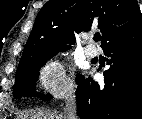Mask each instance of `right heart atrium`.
I'll return each mask as SVG.
<instances>
[{"mask_svg":"<svg viewBox=\"0 0 142 119\" xmlns=\"http://www.w3.org/2000/svg\"><path fill=\"white\" fill-rule=\"evenodd\" d=\"M38 82L41 89L55 97L62 98L74 92V83L62 63L50 61L40 71Z\"/></svg>","mask_w":142,"mask_h":119,"instance_id":"1","label":"right heart atrium"}]
</instances>
